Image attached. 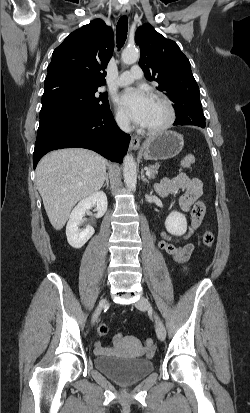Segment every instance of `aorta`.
<instances>
[{"label":"aorta","instance_id":"762f6f07","mask_svg":"<svg viewBox=\"0 0 250 413\" xmlns=\"http://www.w3.org/2000/svg\"><path fill=\"white\" fill-rule=\"evenodd\" d=\"M122 62L125 64H133L139 59L137 49H125L121 55ZM124 182L126 187L133 191L136 188L137 173L134 158L131 155H126L124 158L123 169Z\"/></svg>","mask_w":250,"mask_h":413}]
</instances>
